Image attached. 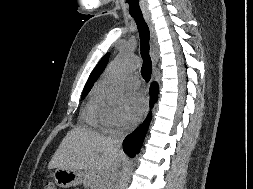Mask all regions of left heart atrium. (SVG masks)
I'll use <instances>...</instances> for the list:
<instances>
[{
  "label": "left heart atrium",
  "mask_w": 253,
  "mask_h": 189,
  "mask_svg": "<svg viewBox=\"0 0 253 189\" xmlns=\"http://www.w3.org/2000/svg\"><path fill=\"white\" fill-rule=\"evenodd\" d=\"M145 111V100L137 93L129 94L126 98V105L123 112V123L125 126L136 124Z\"/></svg>",
  "instance_id": "1"
}]
</instances>
